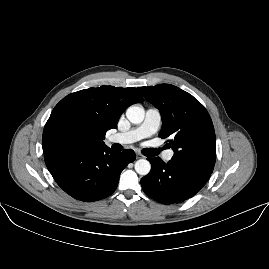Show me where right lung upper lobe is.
Instances as JSON below:
<instances>
[{
    "label": "right lung upper lobe",
    "mask_w": 269,
    "mask_h": 269,
    "mask_svg": "<svg viewBox=\"0 0 269 269\" xmlns=\"http://www.w3.org/2000/svg\"><path fill=\"white\" fill-rule=\"evenodd\" d=\"M144 99L136 88L101 86L63 98L53 109L43 131V152L65 150L77 144L104 145L109 129L120 115Z\"/></svg>",
    "instance_id": "cb5924a9"
}]
</instances>
